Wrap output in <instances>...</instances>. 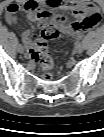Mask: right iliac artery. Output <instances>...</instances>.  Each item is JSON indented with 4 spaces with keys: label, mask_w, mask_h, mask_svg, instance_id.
Masks as SVG:
<instances>
[{
    "label": "right iliac artery",
    "mask_w": 104,
    "mask_h": 137,
    "mask_svg": "<svg viewBox=\"0 0 104 137\" xmlns=\"http://www.w3.org/2000/svg\"><path fill=\"white\" fill-rule=\"evenodd\" d=\"M16 43L24 45V41H20L19 39H16Z\"/></svg>",
    "instance_id": "right-iliac-artery-1"
}]
</instances>
